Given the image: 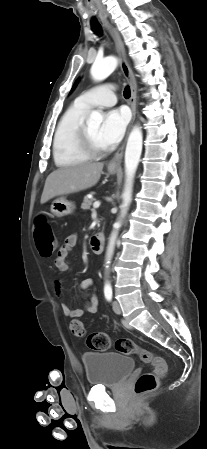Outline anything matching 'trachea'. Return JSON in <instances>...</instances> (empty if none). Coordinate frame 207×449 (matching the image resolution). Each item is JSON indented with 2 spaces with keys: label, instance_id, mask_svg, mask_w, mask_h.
Segmentation results:
<instances>
[{
  "label": "trachea",
  "instance_id": "obj_1",
  "mask_svg": "<svg viewBox=\"0 0 207 449\" xmlns=\"http://www.w3.org/2000/svg\"><path fill=\"white\" fill-rule=\"evenodd\" d=\"M92 30H93L96 34H100L101 31H102V29H101L100 26H93V27H92ZM130 95H131V93H130V87L127 86V87L124 89V97H125V98H130Z\"/></svg>",
  "mask_w": 207,
  "mask_h": 449
}]
</instances>
